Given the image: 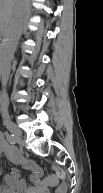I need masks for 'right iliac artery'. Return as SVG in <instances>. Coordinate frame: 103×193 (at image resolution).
<instances>
[{"label": "right iliac artery", "instance_id": "right-iliac-artery-1", "mask_svg": "<svg viewBox=\"0 0 103 193\" xmlns=\"http://www.w3.org/2000/svg\"><path fill=\"white\" fill-rule=\"evenodd\" d=\"M6 139L10 144H15L17 142L16 137L13 134L6 133Z\"/></svg>", "mask_w": 103, "mask_h": 193}]
</instances>
